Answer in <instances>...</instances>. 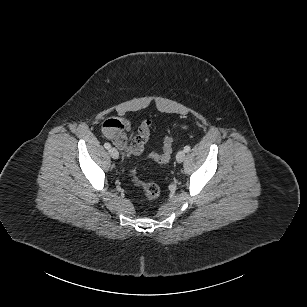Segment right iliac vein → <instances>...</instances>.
Wrapping results in <instances>:
<instances>
[{"mask_svg": "<svg viewBox=\"0 0 307 307\" xmlns=\"http://www.w3.org/2000/svg\"><path fill=\"white\" fill-rule=\"evenodd\" d=\"M109 154L113 159H117L119 157V152L114 147L109 149Z\"/></svg>", "mask_w": 307, "mask_h": 307, "instance_id": "right-iliac-vein-1", "label": "right iliac vein"}]
</instances>
